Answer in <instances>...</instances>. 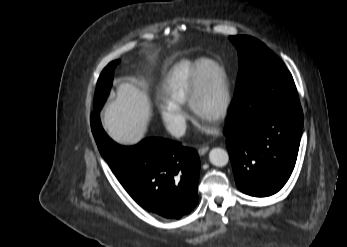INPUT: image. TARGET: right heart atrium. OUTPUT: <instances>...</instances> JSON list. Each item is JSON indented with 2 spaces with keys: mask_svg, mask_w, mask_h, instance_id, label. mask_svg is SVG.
Listing matches in <instances>:
<instances>
[{
  "mask_svg": "<svg viewBox=\"0 0 347 247\" xmlns=\"http://www.w3.org/2000/svg\"><path fill=\"white\" fill-rule=\"evenodd\" d=\"M161 119L171 134L182 136L187 128L188 115L183 106L164 100L158 106Z\"/></svg>",
  "mask_w": 347,
  "mask_h": 247,
  "instance_id": "1",
  "label": "right heart atrium"
}]
</instances>
